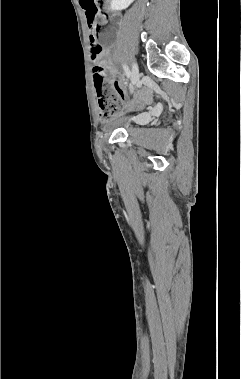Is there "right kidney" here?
I'll return each mask as SVG.
<instances>
[{
  "mask_svg": "<svg viewBox=\"0 0 241 379\" xmlns=\"http://www.w3.org/2000/svg\"><path fill=\"white\" fill-rule=\"evenodd\" d=\"M134 0H111L110 8L112 10H124L126 9Z\"/></svg>",
  "mask_w": 241,
  "mask_h": 379,
  "instance_id": "ca27d5eb",
  "label": "right kidney"
}]
</instances>
